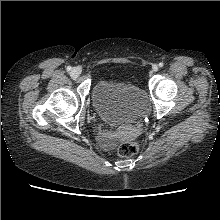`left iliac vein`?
<instances>
[{"label": "left iliac vein", "mask_w": 220, "mask_h": 220, "mask_svg": "<svg viewBox=\"0 0 220 220\" xmlns=\"http://www.w3.org/2000/svg\"><path fill=\"white\" fill-rule=\"evenodd\" d=\"M152 69H153L154 72H156L158 70V65L154 64Z\"/></svg>", "instance_id": "4c4485c4"}]
</instances>
